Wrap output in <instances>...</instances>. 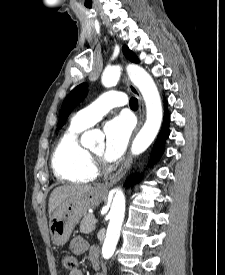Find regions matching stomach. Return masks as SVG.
Listing matches in <instances>:
<instances>
[{"label":"stomach","instance_id":"1","mask_svg":"<svg viewBox=\"0 0 225 275\" xmlns=\"http://www.w3.org/2000/svg\"><path fill=\"white\" fill-rule=\"evenodd\" d=\"M105 191L93 188L88 193L63 200L53 211L49 220L51 239L56 245H64L81 217L87 210L100 204Z\"/></svg>","mask_w":225,"mask_h":275}]
</instances>
